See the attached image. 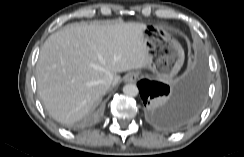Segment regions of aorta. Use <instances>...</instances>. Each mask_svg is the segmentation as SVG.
<instances>
[{
	"label": "aorta",
	"mask_w": 244,
	"mask_h": 157,
	"mask_svg": "<svg viewBox=\"0 0 244 157\" xmlns=\"http://www.w3.org/2000/svg\"><path fill=\"white\" fill-rule=\"evenodd\" d=\"M123 93L127 96L135 97L138 95L139 90L135 84H126L123 87Z\"/></svg>",
	"instance_id": "aorta-1"
}]
</instances>
